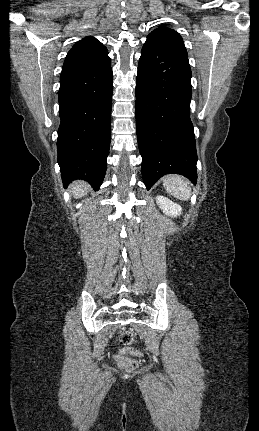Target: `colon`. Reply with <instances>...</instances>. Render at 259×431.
Instances as JSON below:
<instances>
[{
	"label": "colon",
	"mask_w": 259,
	"mask_h": 431,
	"mask_svg": "<svg viewBox=\"0 0 259 431\" xmlns=\"http://www.w3.org/2000/svg\"><path fill=\"white\" fill-rule=\"evenodd\" d=\"M118 340L120 344L124 347L115 356L117 364L126 371H134L138 366V362L135 359L126 355H140L139 350L130 347L134 341L133 333L130 330H124L119 334Z\"/></svg>",
	"instance_id": "obj_1"
}]
</instances>
